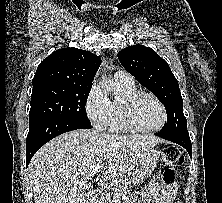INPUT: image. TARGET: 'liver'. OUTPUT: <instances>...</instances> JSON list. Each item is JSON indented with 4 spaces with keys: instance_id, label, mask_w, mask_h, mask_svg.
Wrapping results in <instances>:
<instances>
[{
    "instance_id": "obj_1",
    "label": "liver",
    "mask_w": 222,
    "mask_h": 203,
    "mask_svg": "<svg viewBox=\"0 0 222 203\" xmlns=\"http://www.w3.org/2000/svg\"><path fill=\"white\" fill-rule=\"evenodd\" d=\"M152 135L73 130L40 148L28 166L35 203H84L91 181L124 179L158 142ZM102 169L93 174V170ZM96 177V178H95Z\"/></svg>"
}]
</instances>
